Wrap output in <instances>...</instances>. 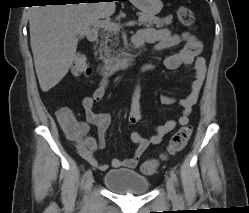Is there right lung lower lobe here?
<instances>
[{"label": "right lung lower lobe", "instance_id": "98d812e1", "mask_svg": "<svg viewBox=\"0 0 249 213\" xmlns=\"http://www.w3.org/2000/svg\"><path fill=\"white\" fill-rule=\"evenodd\" d=\"M81 0H45V2H48V3H55V4H66V3H78L80 2ZM110 1H113V0H110ZM43 2V3H45Z\"/></svg>", "mask_w": 249, "mask_h": 213}]
</instances>
